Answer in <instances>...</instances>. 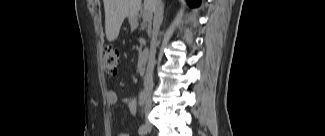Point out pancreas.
<instances>
[{"instance_id":"obj_1","label":"pancreas","mask_w":325,"mask_h":136,"mask_svg":"<svg viewBox=\"0 0 325 136\" xmlns=\"http://www.w3.org/2000/svg\"><path fill=\"white\" fill-rule=\"evenodd\" d=\"M143 28H146V24H143V26H142ZM148 34H150V33H148Z\"/></svg>"}]
</instances>
